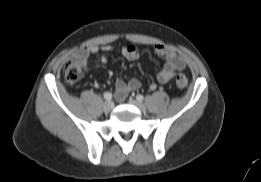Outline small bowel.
<instances>
[{"label": "small bowel", "mask_w": 261, "mask_h": 182, "mask_svg": "<svg viewBox=\"0 0 261 182\" xmlns=\"http://www.w3.org/2000/svg\"><path fill=\"white\" fill-rule=\"evenodd\" d=\"M101 51L112 52L115 51V48L111 45H88L76 51L73 54L72 59L79 62L84 69H87L89 57ZM119 51L129 61H134L140 56V51L138 47L133 44L124 46L120 48ZM155 52L157 53V55L165 60L163 68L156 75L159 83H167L173 77V75L185 68L184 58L180 56L173 48L164 45H156ZM100 61L101 63L105 64L107 62V57L105 55H102ZM140 86L141 83L137 79H131L126 82L118 78L115 81L116 97L119 100H123L129 92L139 89ZM149 88L151 90H154L156 88V85L152 83L150 84Z\"/></svg>", "instance_id": "small-bowel-1"}]
</instances>
